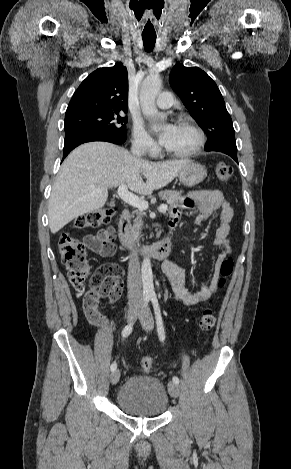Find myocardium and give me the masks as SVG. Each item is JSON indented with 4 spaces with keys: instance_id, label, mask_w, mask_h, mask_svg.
Wrapping results in <instances>:
<instances>
[{
    "instance_id": "myocardium-1",
    "label": "myocardium",
    "mask_w": 291,
    "mask_h": 469,
    "mask_svg": "<svg viewBox=\"0 0 291 469\" xmlns=\"http://www.w3.org/2000/svg\"><path fill=\"white\" fill-rule=\"evenodd\" d=\"M177 124L178 125H187V126H189L194 131V133L196 135V142L193 145V147L190 148L187 151L178 152V151H171L167 148H164V152L167 155L172 156V157H176V158H189V157H192L195 154H197L205 144L204 132L200 128V126L194 121V119H192L189 116L180 117L177 121Z\"/></svg>"
}]
</instances>
